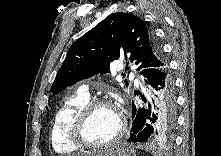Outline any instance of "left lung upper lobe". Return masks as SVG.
<instances>
[{"label": "left lung upper lobe", "mask_w": 221, "mask_h": 156, "mask_svg": "<svg viewBox=\"0 0 221 156\" xmlns=\"http://www.w3.org/2000/svg\"><path fill=\"white\" fill-rule=\"evenodd\" d=\"M119 58L133 62L141 72L167 64L159 43L141 18L112 13L72 44L51 92L55 95L82 79L109 73L110 63Z\"/></svg>", "instance_id": "obj_1"}]
</instances>
